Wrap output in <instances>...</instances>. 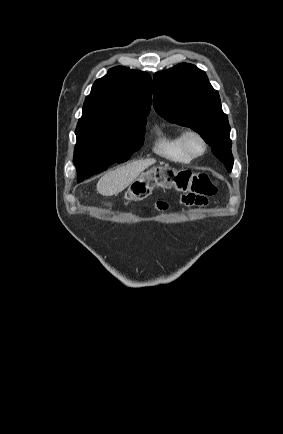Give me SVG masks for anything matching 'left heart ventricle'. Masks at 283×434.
<instances>
[{
	"label": "left heart ventricle",
	"instance_id": "left-heart-ventricle-1",
	"mask_svg": "<svg viewBox=\"0 0 283 434\" xmlns=\"http://www.w3.org/2000/svg\"><path fill=\"white\" fill-rule=\"evenodd\" d=\"M189 145H190L191 149L195 152H197L201 149V145H200L199 141L195 138H191L189 140Z\"/></svg>",
	"mask_w": 283,
	"mask_h": 434
}]
</instances>
